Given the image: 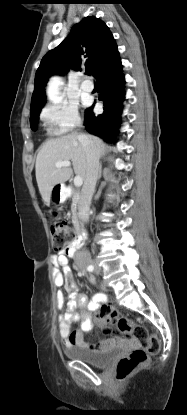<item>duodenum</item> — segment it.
<instances>
[{
  "label": "duodenum",
  "mask_w": 187,
  "mask_h": 415,
  "mask_svg": "<svg viewBox=\"0 0 187 415\" xmlns=\"http://www.w3.org/2000/svg\"><path fill=\"white\" fill-rule=\"evenodd\" d=\"M61 194L63 196H67V197H74L75 193L71 188L68 187H62L61 189ZM79 230V236L74 244V246L71 248L70 253L74 254V252L80 247V244L83 242L84 240V232L81 228L78 229Z\"/></svg>",
  "instance_id": "410a0bca"
}]
</instances>
